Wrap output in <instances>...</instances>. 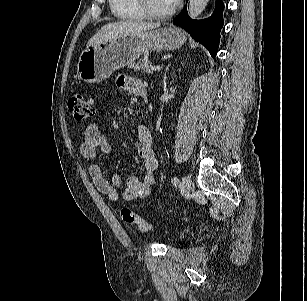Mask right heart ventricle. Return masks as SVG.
<instances>
[{
	"label": "right heart ventricle",
	"mask_w": 307,
	"mask_h": 301,
	"mask_svg": "<svg viewBox=\"0 0 307 301\" xmlns=\"http://www.w3.org/2000/svg\"><path fill=\"white\" fill-rule=\"evenodd\" d=\"M111 11L121 20H141L145 14L141 11L136 0H109Z\"/></svg>",
	"instance_id": "1"
}]
</instances>
